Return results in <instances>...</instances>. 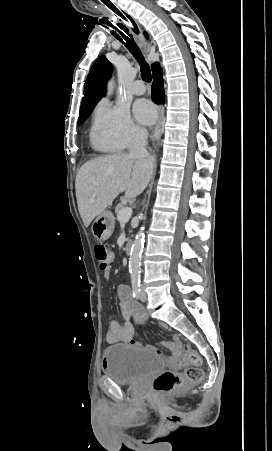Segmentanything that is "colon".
Listing matches in <instances>:
<instances>
[{
	"mask_svg": "<svg viewBox=\"0 0 272 451\" xmlns=\"http://www.w3.org/2000/svg\"><path fill=\"white\" fill-rule=\"evenodd\" d=\"M95 256L100 269H106L111 260L108 248L102 244L96 245ZM194 362H199L198 357L188 346L182 344L181 348L174 355V364L176 367L184 366V370L181 372L175 370L161 372L153 380L154 390L164 394L173 391L179 386L184 387L198 383L203 377V372L201 365H194Z\"/></svg>",
	"mask_w": 272,
	"mask_h": 451,
	"instance_id": "obj_1",
	"label": "colon"
}]
</instances>
